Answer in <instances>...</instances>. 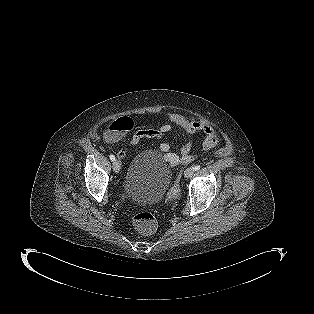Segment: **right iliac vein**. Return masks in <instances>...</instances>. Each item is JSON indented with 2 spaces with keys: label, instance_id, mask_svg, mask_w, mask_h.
<instances>
[{
  "label": "right iliac vein",
  "instance_id": "right-iliac-vein-1",
  "mask_svg": "<svg viewBox=\"0 0 314 314\" xmlns=\"http://www.w3.org/2000/svg\"><path fill=\"white\" fill-rule=\"evenodd\" d=\"M120 169H121L120 162L118 160H115L113 162V170H114V172L115 173H119Z\"/></svg>",
  "mask_w": 314,
  "mask_h": 314
}]
</instances>
